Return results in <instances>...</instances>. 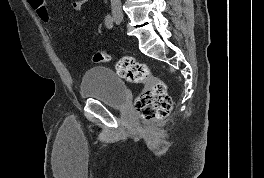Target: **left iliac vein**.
I'll list each match as a JSON object with an SVG mask.
<instances>
[{
  "mask_svg": "<svg viewBox=\"0 0 264 178\" xmlns=\"http://www.w3.org/2000/svg\"><path fill=\"white\" fill-rule=\"evenodd\" d=\"M117 24H119L120 22L119 21H116Z\"/></svg>",
  "mask_w": 264,
  "mask_h": 178,
  "instance_id": "1",
  "label": "left iliac vein"
}]
</instances>
